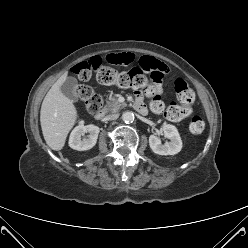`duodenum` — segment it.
I'll use <instances>...</instances> for the list:
<instances>
[{
	"label": "duodenum",
	"mask_w": 248,
	"mask_h": 248,
	"mask_svg": "<svg viewBox=\"0 0 248 248\" xmlns=\"http://www.w3.org/2000/svg\"><path fill=\"white\" fill-rule=\"evenodd\" d=\"M134 108H135L138 112L144 113V108H143L140 104L135 103V104H134ZM104 114H105V113H104L103 110H99L98 112H96V113L94 114V118L97 119V120L102 119L103 116H104Z\"/></svg>",
	"instance_id": "1"
}]
</instances>
